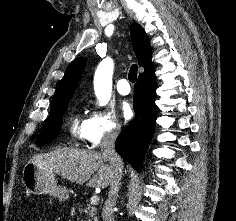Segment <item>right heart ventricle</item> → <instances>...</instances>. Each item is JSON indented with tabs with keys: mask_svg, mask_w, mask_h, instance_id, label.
Instances as JSON below:
<instances>
[{
	"mask_svg": "<svg viewBox=\"0 0 236 221\" xmlns=\"http://www.w3.org/2000/svg\"><path fill=\"white\" fill-rule=\"evenodd\" d=\"M85 122H81L79 117L76 116L70 126L72 136L77 138H83Z\"/></svg>",
	"mask_w": 236,
	"mask_h": 221,
	"instance_id": "1",
	"label": "right heart ventricle"
}]
</instances>
